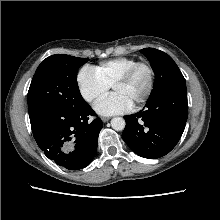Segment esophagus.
<instances>
[{
  "label": "esophagus",
  "instance_id": "34e87169",
  "mask_svg": "<svg viewBox=\"0 0 220 220\" xmlns=\"http://www.w3.org/2000/svg\"><path fill=\"white\" fill-rule=\"evenodd\" d=\"M109 120H110L109 117H102V121H103V122H107V121H109Z\"/></svg>",
  "mask_w": 220,
  "mask_h": 220
}]
</instances>
